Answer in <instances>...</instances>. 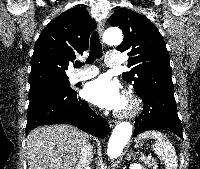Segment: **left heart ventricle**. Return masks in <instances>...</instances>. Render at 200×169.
Listing matches in <instances>:
<instances>
[{"instance_id": "b2bd125f", "label": "left heart ventricle", "mask_w": 200, "mask_h": 169, "mask_svg": "<svg viewBox=\"0 0 200 169\" xmlns=\"http://www.w3.org/2000/svg\"><path fill=\"white\" fill-rule=\"evenodd\" d=\"M125 105H126V104H125V102L123 101V104H122V107H121V108H124V107H125Z\"/></svg>"}]
</instances>
